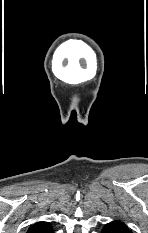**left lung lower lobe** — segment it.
<instances>
[{"label": "left lung lower lobe", "mask_w": 148, "mask_h": 233, "mask_svg": "<svg viewBox=\"0 0 148 233\" xmlns=\"http://www.w3.org/2000/svg\"><path fill=\"white\" fill-rule=\"evenodd\" d=\"M102 233H118V232H116V231H114V230H112L110 228H106V229L102 230Z\"/></svg>", "instance_id": "left-lung-lower-lobe-1"}]
</instances>
